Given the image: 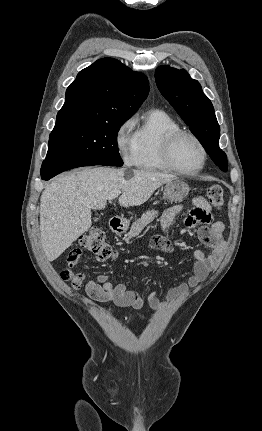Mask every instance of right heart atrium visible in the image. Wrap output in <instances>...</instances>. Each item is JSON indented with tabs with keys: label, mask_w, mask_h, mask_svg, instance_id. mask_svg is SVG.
Wrapping results in <instances>:
<instances>
[{
	"label": "right heart atrium",
	"mask_w": 262,
	"mask_h": 431,
	"mask_svg": "<svg viewBox=\"0 0 262 431\" xmlns=\"http://www.w3.org/2000/svg\"><path fill=\"white\" fill-rule=\"evenodd\" d=\"M134 122L125 120L117 129L115 136L116 148L126 164L135 162L136 142L134 136Z\"/></svg>",
	"instance_id": "d8ad5b80"
}]
</instances>
